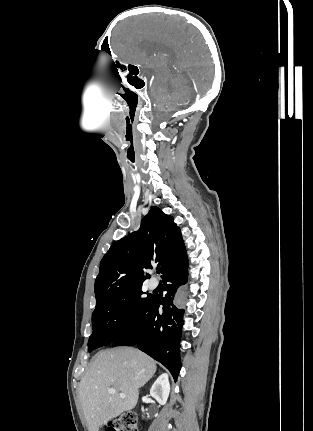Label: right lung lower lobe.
Listing matches in <instances>:
<instances>
[{
    "mask_svg": "<svg viewBox=\"0 0 313 431\" xmlns=\"http://www.w3.org/2000/svg\"><path fill=\"white\" fill-rule=\"evenodd\" d=\"M188 258L186 249L165 272L162 279L167 291L163 299L153 296L136 323L111 345L133 346L162 363L176 380L181 369L180 339L183 314L176 303L179 288L187 282ZM163 305V313L158 312Z\"/></svg>",
    "mask_w": 313,
    "mask_h": 431,
    "instance_id": "98d812e1",
    "label": "right lung lower lobe"
}]
</instances>
